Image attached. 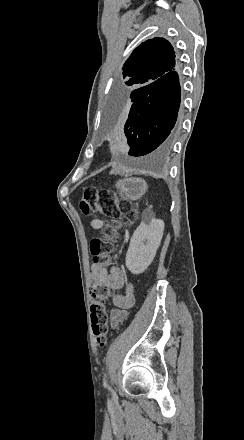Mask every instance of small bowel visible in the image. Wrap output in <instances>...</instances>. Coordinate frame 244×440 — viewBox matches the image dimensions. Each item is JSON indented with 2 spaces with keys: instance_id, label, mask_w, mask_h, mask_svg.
<instances>
[{
  "instance_id": "c3829d8e",
  "label": "small bowel",
  "mask_w": 244,
  "mask_h": 440,
  "mask_svg": "<svg viewBox=\"0 0 244 440\" xmlns=\"http://www.w3.org/2000/svg\"><path fill=\"white\" fill-rule=\"evenodd\" d=\"M90 225L95 230H99L104 226L103 221L100 219H93ZM105 257L106 255H103L98 262H93L90 270V280L94 287L104 285L112 290H117L125 286L124 294L113 297L115 308L110 312V327L116 330L127 319L128 310L136 303V296L133 286L125 285L123 272L119 268H107L104 262Z\"/></svg>"
}]
</instances>
